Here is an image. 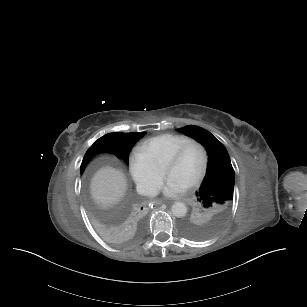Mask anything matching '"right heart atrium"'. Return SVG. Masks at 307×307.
<instances>
[{
  "instance_id": "1",
  "label": "right heart atrium",
  "mask_w": 307,
  "mask_h": 307,
  "mask_svg": "<svg viewBox=\"0 0 307 307\" xmlns=\"http://www.w3.org/2000/svg\"><path fill=\"white\" fill-rule=\"evenodd\" d=\"M129 172L138 188L151 189L163 176V169L152 151L143 145H133L128 153Z\"/></svg>"
}]
</instances>
